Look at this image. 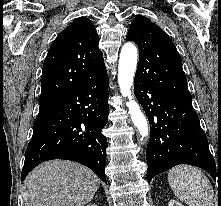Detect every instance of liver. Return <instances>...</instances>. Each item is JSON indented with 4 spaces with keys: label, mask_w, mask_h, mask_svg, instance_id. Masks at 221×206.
<instances>
[{
    "label": "liver",
    "mask_w": 221,
    "mask_h": 206,
    "mask_svg": "<svg viewBox=\"0 0 221 206\" xmlns=\"http://www.w3.org/2000/svg\"><path fill=\"white\" fill-rule=\"evenodd\" d=\"M24 185V206H84L93 199L100 180L79 163L54 160L33 169Z\"/></svg>",
    "instance_id": "liver-1"
}]
</instances>
